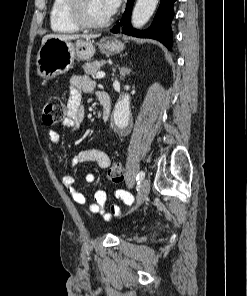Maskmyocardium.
I'll return each instance as SVG.
<instances>
[{"label": "myocardium", "mask_w": 247, "mask_h": 296, "mask_svg": "<svg viewBox=\"0 0 247 296\" xmlns=\"http://www.w3.org/2000/svg\"><path fill=\"white\" fill-rule=\"evenodd\" d=\"M86 0H70L68 14L72 22L81 29H101L110 25L112 18L109 16L103 22H90L85 16Z\"/></svg>", "instance_id": "obj_1"}]
</instances>
